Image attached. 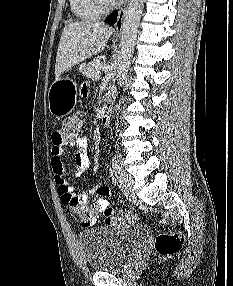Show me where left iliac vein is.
<instances>
[{
    "label": "left iliac vein",
    "instance_id": "obj_1",
    "mask_svg": "<svg viewBox=\"0 0 233 286\" xmlns=\"http://www.w3.org/2000/svg\"><path fill=\"white\" fill-rule=\"evenodd\" d=\"M120 188L123 194L127 197L133 196V181L126 173H120L119 177Z\"/></svg>",
    "mask_w": 233,
    "mask_h": 286
}]
</instances>
